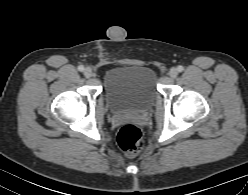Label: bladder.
I'll list each match as a JSON object with an SVG mask.
<instances>
[{
  "label": "bladder",
  "mask_w": 248,
  "mask_h": 195,
  "mask_svg": "<svg viewBox=\"0 0 248 195\" xmlns=\"http://www.w3.org/2000/svg\"><path fill=\"white\" fill-rule=\"evenodd\" d=\"M157 75L142 65H119L109 69L103 81V93L112 112H141L153 102Z\"/></svg>",
  "instance_id": "31cf9c89"
}]
</instances>
